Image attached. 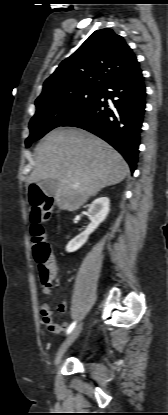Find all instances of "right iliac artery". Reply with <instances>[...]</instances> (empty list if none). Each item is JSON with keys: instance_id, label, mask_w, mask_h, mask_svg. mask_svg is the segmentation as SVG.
<instances>
[{"instance_id": "right-iliac-artery-1", "label": "right iliac artery", "mask_w": 168, "mask_h": 415, "mask_svg": "<svg viewBox=\"0 0 168 415\" xmlns=\"http://www.w3.org/2000/svg\"><path fill=\"white\" fill-rule=\"evenodd\" d=\"M75 325H76V321L75 322H73L69 327H68V329H67V334H69V333H71L72 332V330L75 328Z\"/></svg>"}]
</instances>
